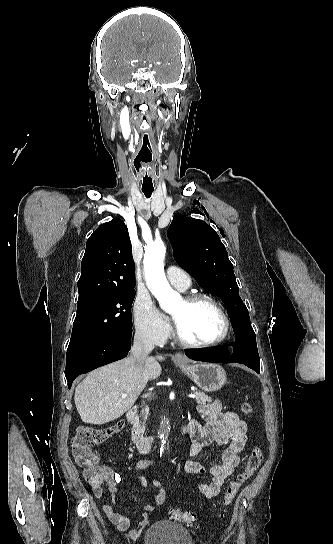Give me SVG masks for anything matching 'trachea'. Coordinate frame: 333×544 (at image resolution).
<instances>
[{
    "mask_svg": "<svg viewBox=\"0 0 333 544\" xmlns=\"http://www.w3.org/2000/svg\"><path fill=\"white\" fill-rule=\"evenodd\" d=\"M142 192L144 193V195L147 198H149L151 196V194L153 193V189H151V190L143 189Z\"/></svg>",
    "mask_w": 333,
    "mask_h": 544,
    "instance_id": "1",
    "label": "trachea"
}]
</instances>
